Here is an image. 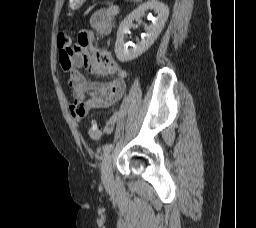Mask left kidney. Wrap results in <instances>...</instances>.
<instances>
[{
  "label": "left kidney",
  "mask_w": 256,
  "mask_h": 228,
  "mask_svg": "<svg viewBox=\"0 0 256 228\" xmlns=\"http://www.w3.org/2000/svg\"><path fill=\"white\" fill-rule=\"evenodd\" d=\"M148 10H153L157 17L152 25L146 27L147 33L141 41L134 45L133 48L128 49L124 39L125 35L129 32V29L133 25L134 19H139ZM169 9L167 5L157 0H150L141 4L137 9L132 11L120 24L117 31V39L115 43V54L119 61L127 62L131 61L141 54H143L157 39L165 22L168 19Z\"/></svg>",
  "instance_id": "1"
}]
</instances>
